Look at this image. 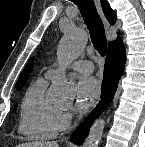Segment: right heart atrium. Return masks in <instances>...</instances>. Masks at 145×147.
<instances>
[{"label": "right heart atrium", "instance_id": "obj_1", "mask_svg": "<svg viewBox=\"0 0 145 147\" xmlns=\"http://www.w3.org/2000/svg\"><path fill=\"white\" fill-rule=\"evenodd\" d=\"M73 116L74 113L71 108L60 109L57 120L58 131H65L68 129L73 121Z\"/></svg>", "mask_w": 145, "mask_h": 147}]
</instances>
